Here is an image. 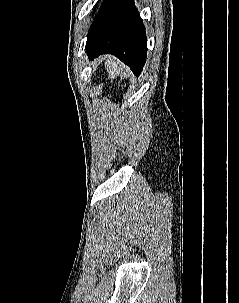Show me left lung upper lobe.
<instances>
[{
	"mask_svg": "<svg viewBox=\"0 0 239 303\" xmlns=\"http://www.w3.org/2000/svg\"><path fill=\"white\" fill-rule=\"evenodd\" d=\"M117 2V0H104L98 15L95 17L88 34H90L101 22L102 18L107 14V12L112 8V6Z\"/></svg>",
	"mask_w": 239,
	"mask_h": 303,
	"instance_id": "left-lung-upper-lobe-1",
	"label": "left lung upper lobe"
}]
</instances>
